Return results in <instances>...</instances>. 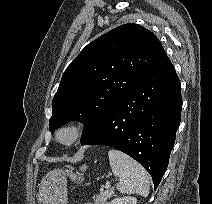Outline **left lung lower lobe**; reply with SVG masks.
Listing matches in <instances>:
<instances>
[{
  "mask_svg": "<svg viewBox=\"0 0 212 204\" xmlns=\"http://www.w3.org/2000/svg\"><path fill=\"white\" fill-rule=\"evenodd\" d=\"M180 89L175 69L166 57L106 112L81 145H106L128 154L151 174L157 188L180 124Z\"/></svg>",
  "mask_w": 212,
  "mask_h": 204,
  "instance_id": "left-lung-lower-lobe-1",
  "label": "left lung lower lobe"
}]
</instances>
